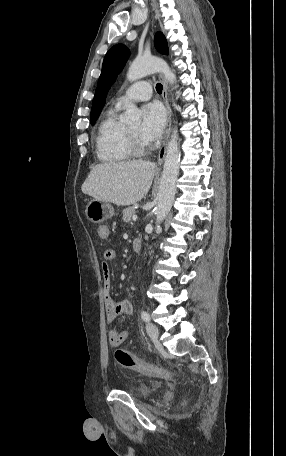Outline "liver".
<instances>
[{
    "instance_id": "liver-1",
    "label": "liver",
    "mask_w": 286,
    "mask_h": 456,
    "mask_svg": "<svg viewBox=\"0 0 286 456\" xmlns=\"http://www.w3.org/2000/svg\"><path fill=\"white\" fill-rule=\"evenodd\" d=\"M155 163L145 160L96 165L82 184L84 194L119 206L137 203L148 193Z\"/></svg>"
}]
</instances>
